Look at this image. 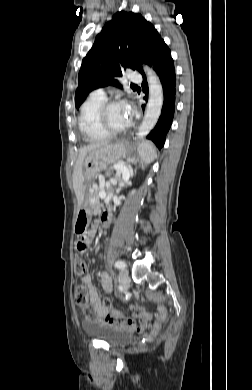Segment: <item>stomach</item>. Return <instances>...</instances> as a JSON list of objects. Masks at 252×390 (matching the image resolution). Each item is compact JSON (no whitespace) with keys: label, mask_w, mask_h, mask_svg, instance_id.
Segmentation results:
<instances>
[{"label":"stomach","mask_w":252,"mask_h":390,"mask_svg":"<svg viewBox=\"0 0 252 390\" xmlns=\"http://www.w3.org/2000/svg\"><path fill=\"white\" fill-rule=\"evenodd\" d=\"M124 152L122 144L108 145L90 151L83 162V176L86 182H90L94 176L105 170L108 164L115 162ZM93 207L88 199H82V204L76 214L74 231L82 233L91 222Z\"/></svg>","instance_id":"stomach-1"}]
</instances>
